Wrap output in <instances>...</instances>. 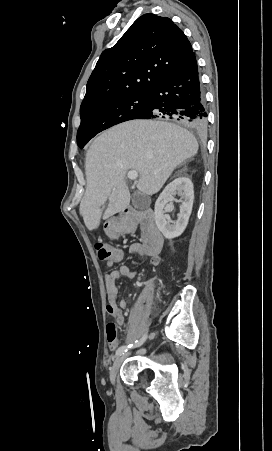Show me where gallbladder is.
Segmentation results:
<instances>
[{
    "label": "gallbladder",
    "instance_id": "1",
    "mask_svg": "<svg viewBox=\"0 0 272 451\" xmlns=\"http://www.w3.org/2000/svg\"><path fill=\"white\" fill-rule=\"evenodd\" d=\"M137 196H141V194H137ZM133 206H135V208H139V210H145V208H147L146 204H143V202L138 200V198H133Z\"/></svg>",
    "mask_w": 272,
    "mask_h": 451
}]
</instances>
